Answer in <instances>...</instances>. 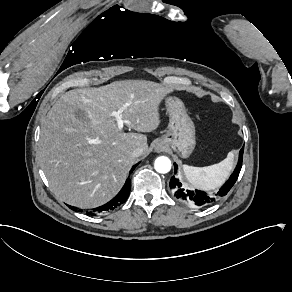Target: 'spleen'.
Returning a JSON list of instances; mask_svg holds the SVG:
<instances>
[{
  "instance_id": "obj_1",
  "label": "spleen",
  "mask_w": 292,
  "mask_h": 292,
  "mask_svg": "<svg viewBox=\"0 0 292 292\" xmlns=\"http://www.w3.org/2000/svg\"><path fill=\"white\" fill-rule=\"evenodd\" d=\"M233 161L234 151H230L220 163L206 167L183 165V171L191 187L210 191L219 188L226 181L233 168Z\"/></svg>"
}]
</instances>
